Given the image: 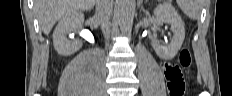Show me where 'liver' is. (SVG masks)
Returning <instances> with one entry per match:
<instances>
[{"instance_id":"obj_1","label":"liver","mask_w":232,"mask_h":96,"mask_svg":"<svg viewBox=\"0 0 232 96\" xmlns=\"http://www.w3.org/2000/svg\"><path fill=\"white\" fill-rule=\"evenodd\" d=\"M95 3L96 0H35L34 8L42 31L48 35L59 19L79 10L88 11Z\"/></svg>"}]
</instances>
